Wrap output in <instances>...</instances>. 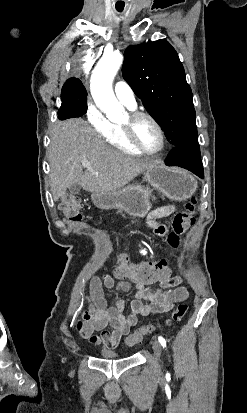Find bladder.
Masks as SVG:
<instances>
[{"label":"bladder","mask_w":247,"mask_h":413,"mask_svg":"<svg viewBox=\"0 0 247 413\" xmlns=\"http://www.w3.org/2000/svg\"><path fill=\"white\" fill-rule=\"evenodd\" d=\"M101 357L102 358H119V355L115 351L102 349Z\"/></svg>","instance_id":"1"}]
</instances>
